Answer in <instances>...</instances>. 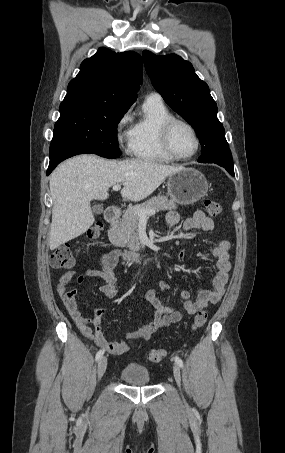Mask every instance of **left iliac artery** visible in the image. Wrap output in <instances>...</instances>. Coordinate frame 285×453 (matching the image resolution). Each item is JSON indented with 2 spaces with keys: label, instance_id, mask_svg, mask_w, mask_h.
Here are the masks:
<instances>
[{
  "label": "left iliac artery",
  "instance_id": "1",
  "mask_svg": "<svg viewBox=\"0 0 285 453\" xmlns=\"http://www.w3.org/2000/svg\"><path fill=\"white\" fill-rule=\"evenodd\" d=\"M174 360L179 365V367H183V361L178 356H175Z\"/></svg>",
  "mask_w": 285,
  "mask_h": 453
}]
</instances>
